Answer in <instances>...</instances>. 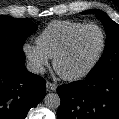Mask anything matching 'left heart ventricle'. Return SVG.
I'll use <instances>...</instances> for the list:
<instances>
[{
  "label": "left heart ventricle",
  "instance_id": "b2bd125f",
  "mask_svg": "<svg viewBox=\"0 0 119 119\" xmlns=\"http://www.w3.org/2000/svg\"><path fill=\"white\" fill-rule=\"evenodd\" d=\"M101 45V34L96 28H88L78 35L72 47L58 62V72L73 74L84 69L96 56Z\"/></svg>",
  "mask_w": 119,
  "mask_h": 119
}]
</instances>
